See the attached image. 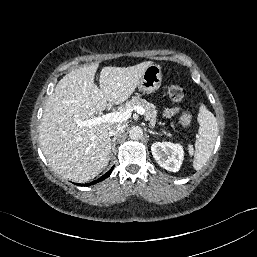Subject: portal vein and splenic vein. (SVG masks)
I'll return each mask as SVG.
<instances>
[{"mask_svg": "<svg viewBox=\"0 0 257 257\" xmlns=\"http://www.w3.org/2000/svg\"><path fill=\"white\" fill-rule=\"evenodd\" d=\"M133 110H135L140 115H143L145 113L144 108H142L141 106H134L132 108H127L124 111H115L99 117H93L91 119H87L84 121H78L77 124L79 126H85V127L91 128L95 125H98L104 122H110V123L123 122V121H126L128 118H130Z\"/></svg>", "mask_w": 257, "mask_h": 257, "instance_id": "portal-vein-and-splenic-vein-1", "label": "portal vein and splenic vein"}]
</instances>
